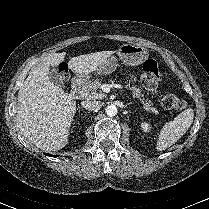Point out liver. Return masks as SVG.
<instances>
[{
	"label": "liver",
	"mask_w": 209,
	"mask_h": 209,
	"mask_svg": "<svg viewBox=\"0 0 209 209\" xmlns=\"http://www.w3.org/2000/svg\"><path fill=\"white\" fill-rule=\"evenodd\" d=\"M115 51H101L70 59L69 68L79 76L97 70ZM66 53H52L34 67L19 89L16 123L22 136L43 151H57L68 143L76 112L72 95L49 79L50 66L64 62Z\"/></svg>",
	"instance_id": "1"
}]
</instances>
